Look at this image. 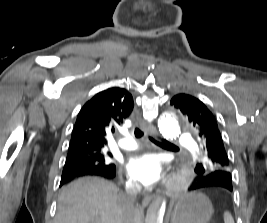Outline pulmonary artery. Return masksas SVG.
Wrapping results in <instances>:
<instances>
[{
  "label": "pulmonary artery",
  "mask_w": 267,
  "mask_h": 223,
  "mask_svg": "<svg viewBox=\"0 0 267 223\" xmlns=\"http://www.w3.org/2000/svg\"><path fill=\"white\" fill-rule=\"evenodd\" d=\"M181 145L189 146L188 142L186 140L180 141ZM119 147L125 150H134L138 147L137 142L134 140V138L130 135H126L124 138L120 139L118 141Z\"/></svg>",
  "instance_id": "pulmonary-artery-1"
}]
</instances>
